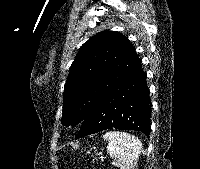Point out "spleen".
<instances>
[{
    "label": "spleen",
    "mask_w": 200,
    "mask_h": 169,
    "mask_svg": "<svg viewBox=\"0 0 200 169\" xmlns=\"http://www.w3.org/2000/svg\"><path fill=\"white\" fill-rule=\"evenodd\" d=\"M103 138L108 141V154L117 158L120 169H134L141 152V141L134 135L120 131L106 132Z\"/></svg>",
    "instance_id": "spleen-1"
}]
</instances>
